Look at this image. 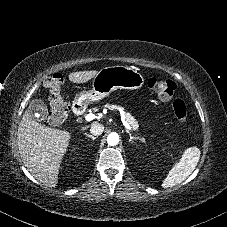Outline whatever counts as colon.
<instances>
[{
  "label": "colon",
  "instance_id": "colon-1",
  "mask_svg": "<svg viewBox=\"0 0 227 227\" xmlns=\"http://www.w3.org/2000/svg\"><path fill=\"white\" fill-rule=\"evenodd\" d=\"M64 82V77L59 73L51 75L45 81V86L50 92V113L48 119L53 126L61 125L67 119L69 106L62 94ZM147 86L160 100L171 101L173 115L182 122L186 121V106L181 100L175 99L177 87L172 80H160L156 77H151L147 80Z\"/></svg>",
  "mask_w": 227,
  "mask_h": 227
}]
</instances>
